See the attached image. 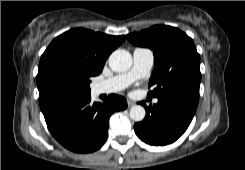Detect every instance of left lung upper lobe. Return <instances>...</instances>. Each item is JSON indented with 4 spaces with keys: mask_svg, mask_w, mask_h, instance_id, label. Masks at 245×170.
<instances>
[{
    "mask_svg": "<svg viewBox=\"0 0 245 170\" xmlns=\"http://www.w3.org/2000/svg\"><path fill=\"white\" fill-rule=\"evenodd\" d=\"M136 46L153 50L155 65L149 87L152 97L180 96L199 100L200 56L190 37L180 29L156 25L127 35Z\"/></svg>",
    "mask_w": 245,
    "mask_h": 170,
    "instance_id": "left-lung-upper-lobe-1",
    "label": "left lung upper lobe"
}]
</instances>
